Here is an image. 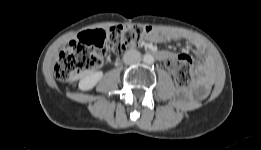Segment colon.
I'll use <instances>...</instances> for the list:
<instances>
[{
	"mask_svg": "<svg viewBox=\"0 0 261 150\" xmlns=\"http://www.w3.org/2000/svg\"><path fill=\"white\" fill-rule=\"evenodd\" d=\"M151 32L148 27L114 26L108 30L86 31L78 35L60 52L55 66V76L60 81H70L75 76L102 65L108 49L116 55L136 47ZM191 58L186 54L170 58L166 66L180 86L191 81Z\"/></svg>",
	"mask_w": 261,
	"mask_h": 150,
	"instance_id": "1",
	"label": "colon"
}]
</instances>
